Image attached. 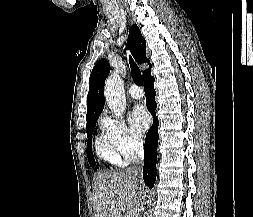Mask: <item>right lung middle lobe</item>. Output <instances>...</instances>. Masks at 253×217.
Returning a JSON list of instances; mask_svg holds the SVG:
<instances>
[{"instance_id":"obj_1","label":"right lung middle lobe","mask_w":253,"mask_h":217,"mask_svg":"<svg viewBox=\"0 0 253 217\" xmlns=\"http://www.w3.org/2000/svg\"><path fill=\"white\" fill-rule=\"evenodd\" d=\"M96 122H97V119L91 120V121L87 122V126H86V132H87V137H88L87 157H88L89 164L91 166L95 165V160L92 155V134L94 132Z\"/></svg>"}]
</instances>
